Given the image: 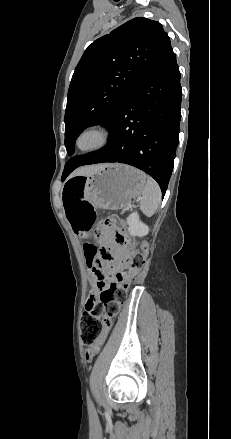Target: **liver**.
<instances>
[{
	"label": "liver",
	"instance_id": "liver-1",
	"mask_svg": "<svg viewBox=\"0 0 231 439\" xmlns=\"http://www.w3.org/2000/svg\"><path fill=\"white\" fill-rule=\"evenodd\" d=\"M106 165L107 164H99V165H92V166L78 168L70 175V178L74 176H88L98 171L99 169L105 167Z\"/></svg>",
	"mask_w": 231,
	"mask_h": 439
}]
</instances>
